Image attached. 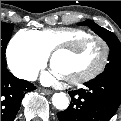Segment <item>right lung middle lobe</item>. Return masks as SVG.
<instances>
[{"instance_id":"dd1d6c3e","label":"right lung middle lobe","mask_w":121,"mask_h":121,"mask_svg":"<svg viewBox=\"0 0 121 121\" xmlns=\"http://www.w3.org/2000/svg\"><path fill=\"white\" fill-rule=\"evenodd\" d=\"M13 26L1 22V57L5 56L6 46L11 38Z\"/></svg>"}]
</instances>
